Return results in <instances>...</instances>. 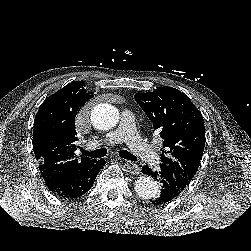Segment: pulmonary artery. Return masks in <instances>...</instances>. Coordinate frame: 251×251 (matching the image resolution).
Wrapping results in <instances>:
<instances>
[{"label":"pulmonary artery","instance_id":"e3ab8cb5","mask_svg":"<svg viewBox=\"0 0 251 251\" xmlns=\"http://www.w3.org/2000/svg\"><path fill=\"white\" fill-rule=\"evenodd\" d=\"M124 141L145 162L152 167L159 166L158 156L151 146L137 133L134 119L128 111L123 112L120 126L106 135V144H115Z\"/></svg>","mask_w":251,"mask_h":251}]
</instances>
